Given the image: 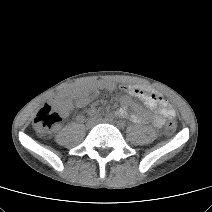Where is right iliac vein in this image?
<instances>
[{"label":"right iliac vein","instance_id":"63e3f726","mask_svg":"<svg viewBox=\"0 0 212 212\" xmlns=\"http://www.w3.org/2000/svg\"><path fill=\"white\" fill-rule=\"evenodd\" d=\"M94 126V121L92 119L88 120L86 123V127L88 129L92 128Z\"/></svg>","mask_w":212,"mask_h":212}]
</instances>
